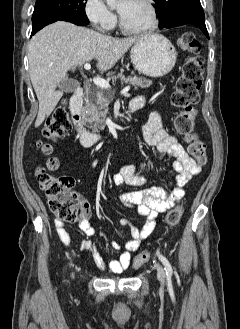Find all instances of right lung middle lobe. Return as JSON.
Returning a JSON list of instances; mask_svg holds the SVG:
<instances>
[{
    "label": "right lung middle lobe",
    "instance_id": "dd1d6c3e",
    "mask_svg": "<svg viewBox=\"0 0 240 329\" xmlns=\"http://www.w3.org/2000/svg\"><path fill=\"white\" fill-rule=\"evenodd\" d=\"M87 0H37L32 15V22L44 18L73 20L88 24L85 13Z\"/></svg>",
    "mask_w": 240,
    "mask_h": 329
}]
</instances>
